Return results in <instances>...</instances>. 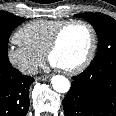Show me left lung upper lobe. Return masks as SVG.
<instances>
[{"label": "left lung upper lobe", "instance_id": "1", "mask_svg": "<svg viewBox=\"0 0 116 116\" xmlns=\"http://www.w3.org/2000/svg\"><path fill=\"white\" fill-rule=\"evenodd\" d=\"M75 16L87 20L98 36V51L91 64L116 61V20L99 12H86Z\"/></svg>", "mask_w": 116, "mask_h": 116}]
</instances>
